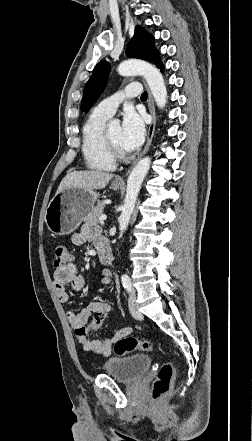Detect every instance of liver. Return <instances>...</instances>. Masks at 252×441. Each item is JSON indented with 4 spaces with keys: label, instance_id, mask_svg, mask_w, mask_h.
<instances>
[{
    "label": "liver",
    "instance_id": "obj_1",
    "mask_svg": "<svg viewBox=\"0 0 252 441\" xmlns=\"http://www.w3.org/2000/svg\"><path fill=\"white\" fill-rule=\"evenodd\" d=\"M113 177L114 175L112 173L102 171H73L63 178L57 189V193L71 187L85 190L103 189Z\"/></svg>",
    "mask_w": 252,
    "mask_h": 441
}]
</instances>
